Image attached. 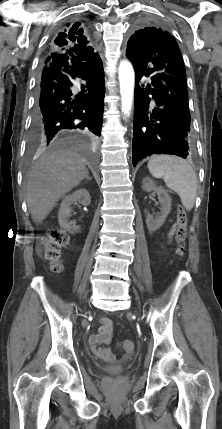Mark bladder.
Wrapping results in <instances>:
<instances>
[{
    "label": "bladder",
    "mask_w": 222,
    "mask_h": 429,
    "mask_svg": "<svg viewBox=\"0 0 222 429\" xmlns=\"http://www.w3.org/2000/svg\"><path fill=\"white\" fill-rule=\"evenodd\" d=\"M99 370L105 374L118 375L126 370V366H100Z\"/></svg>",
    "instance_id": "bladder-1"
}]
</instances>
